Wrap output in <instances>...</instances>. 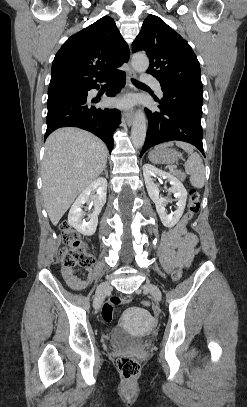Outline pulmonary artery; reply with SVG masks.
I'll list each match as a JSON object with an SVG mask.
<instances>
[{
  "label": "pulmonary artery",
  "instance_id": "pulmonary-artery-1",
  "mask_svg": "<svg viewBox=\"0 0 247 407\" xmlns=\"http://www.w3.org/2000/svg\"><path fill=\"white\" fill-rule=\"evenodd\" d=\"M141 80L144 83H148V84L152 85L153 88L155 89V91L158 93V95H160V96L162 95L160 83L154 76L149 75V74H142Z\"/></svg>",
  "mask_w": 247,
  "mask_h": 407
}]
</instances>
